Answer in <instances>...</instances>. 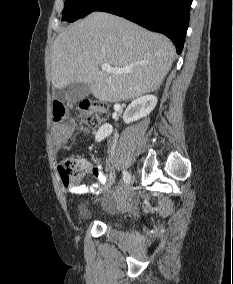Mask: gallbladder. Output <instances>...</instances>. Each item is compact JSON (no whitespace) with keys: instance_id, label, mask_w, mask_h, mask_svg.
<instances>
[{"instance_id":"gallbladder-1","label":"gallbladder","mask_w":233,"mask_h":284,"mask_svg":"<svg viewBox=\"0 0 233 284\" xmlns=\"http://www.w3.org/2000/svg\"><path fill=\"white\" fill-rule=\"evenodd\" d=\"M91 93L90 85L87 83L73 82L64 89H56L54 98L59 101H66L68 103H75L84 99Z\"/></svg>"}]
</instances>
